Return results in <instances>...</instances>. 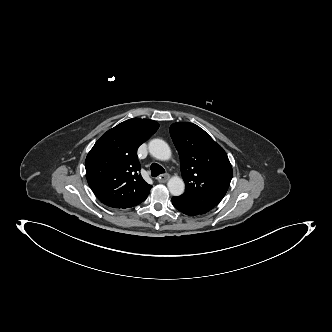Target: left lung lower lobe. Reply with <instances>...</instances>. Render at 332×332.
Returning <instances> with one entry per match:
<instances>
[{
    "label": "left lung lower lobe",
    "mask_w": 332,
    "mask_h": 332,
    "mask_svg": "<svg viewBox=\"0 0 332 332\" xmlns=\"http://www.w3.org/2000/svg\"><path fill=\"white\" fill-rule=\"evenodd\" d=\"M172 204L174 207L179 210L180 212L189 215V216H196V215H202L207 213L206 210L193 205L180 197H172Z\"/></svg>",
    "instance_id": "1"
}]
</instances>
